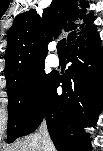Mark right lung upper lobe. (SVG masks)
Segmentation results:
<instances>
[{
    "mask_svg": "<svg viewBox=\"0 0 103 151\" xmlns=\"http://www.w3.org/2000/svg\"><path fill=\"white\" fill-rule=\"evenodd\" d=\"M87 3L76 0H53L42 16L35 10L19 14L8 31L5 52V78L9 87L14 79L30 67L44 63L51 37L69 32L68 44L93 25L91 15H85Z\"/></svg>",
    "mask_w": 103,
    "mask_h": 151,
    "instance_id": "cb5924a9",
    "label": "right lung upper lobe"
}]
</instances>
